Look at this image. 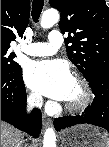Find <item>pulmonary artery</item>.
Returning <instances> with one entry per match:
<instances>
[{
  "mask_svg": "<svg viewBox=\"0 0 109 147\" xmlns=\"http://www.w3.org/2000/svg\"><path fill=\"white\" fill-rule=\"evenodd\" d=\"M63 43L61 32H51L46 42L30 43L21 48L25 54L33 57L50 56L57 52Z\"/></svg>",
  "mask_w": 109,
  "mask_h": 147,
  "instance_id": "obj_1",
  "label": "pulmonary artery"
}]
</instances>
